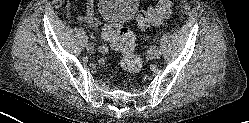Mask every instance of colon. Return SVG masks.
<instances>
[{
  "label": "colon",
  "instance_id": "colon-1",
  "mask_svg": "<svg viewBox=\"0 0 249 123\" xmlns=\"http://www.w3.org/2000/svg\"><path fill=\"white\" fill-rule=\"evenodd\" d=\"M173 0H159L157 4L139 12L137 25L147 29L151 25L159 24L171 13ZM103 36L111 47L118 51L121 58V67L127 72H136L141 68V59L134 53L135 38L131 31L114 25H107L103 29Z\"/></svg>",
  "mask_w": 249,
  "mask_h": 123
}]
</instances>
